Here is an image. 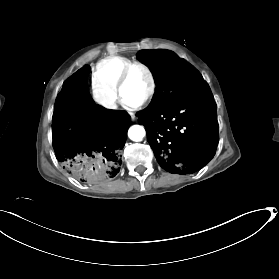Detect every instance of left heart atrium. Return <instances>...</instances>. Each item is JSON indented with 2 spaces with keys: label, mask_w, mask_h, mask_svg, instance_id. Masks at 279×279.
Masks as SVG:
<instances>
[{
  "label": "left heart atrium",
  "mask_w": 279,
  "mask_h": 279,
  "mask_svg": "<svg viewBox=\"0 0 279 279\" xmlns=\"http://www.w3.org/2000/svg\"><path fill=\"white\" fill-rule=\"evenodd\" d=\"M124 104L128 107V108H135L137 106V104H133V103H125Z\"/></svg>",
  "instance_id": "left-heart-atrium-1"
}]
</instances>
